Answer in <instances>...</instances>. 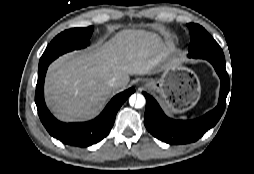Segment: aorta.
Returning <instances> with one entry per match:
<instances>
[{
  "label": "aorta",
  "instance_id": "762f6f07",
  "mask_svg": "<svg viewBox=\"0 0 254 174\" xmlns=\"http://www.w3.org/2000/svg\"><path fill=\"white\" fill-rule=\"evenodd\" d=\"M129 103L130 105L135 106V108H142L145 105L146 100L142 94H134L130 97Z\"/></svg>",
  "mask_w": 254,
  "mask_h": 174
}]
</instances>
